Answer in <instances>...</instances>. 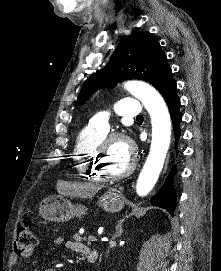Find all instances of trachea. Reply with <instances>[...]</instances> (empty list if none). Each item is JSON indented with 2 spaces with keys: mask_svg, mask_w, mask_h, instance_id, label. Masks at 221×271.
Here are the masks:
<instances>
[{
  "mask_svg": "<svg viewBox=\"0 0 221 271\" xmlns=\"http://www.w3.org/2000/svg\"><path fill=\"white\" fill-rule=\"evenodd\" d=\"M136 119H144L143 115H138Z\"/></svg>",
  "mask_w": 221,
  "mask_h": 271,
  "instance_id": "obj_1",
  "label": "trachea"
}]
</instances>
